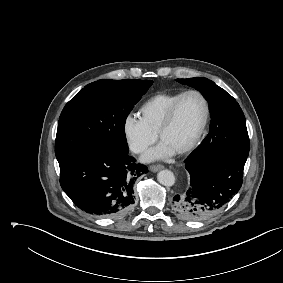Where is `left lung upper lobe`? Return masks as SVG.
<instances>
[{
    "instance_id": "5c2ea615",
    "label": "left lung upper lobe",
    "mask_w": 283,
    "mask_h": 283,
    "mask_svg": "<svg viewBox=\"0 0 283 283\" xmlns=\"http://www.w3.org/2000/svg\"><path fill=\"white\" fill-rule=\"evenodd\" d=\"M176 81L199 90L209 100L211 109L209 134L187 159L214 153H233L248 157L249 137L246 120L236 100L207 78Z\"/></svg>"
}]
</instances>
